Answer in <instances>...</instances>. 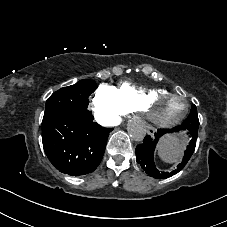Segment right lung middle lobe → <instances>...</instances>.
<instances>
[{
    "label": "right lung middle lobe",
    "instance_id": "obj_1",
    "mask_svg": "<svg viewBox=\"0 0 227 227\" xmlns=\"http://www.w3.org/2000/svg\"><path fill=\"white\" fill-rule=\"evenodd\" d=\"M96 88L97 84L94 81L83 79L54 92L46 101L43 121L67 112L87 111L88 97Z\"/></svg>",
    "mask_w": 227,
    "mask_h": 227
}]
</instances>
